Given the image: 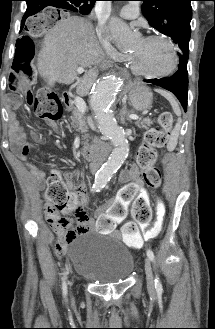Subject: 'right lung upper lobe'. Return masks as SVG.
I'll return each instance as SVG.
<instances>
[{
	"mask_svg": "<svg viewBox=\"0 0 215 329\" xmlns=\"http://www.w3.org/2000/svg\"><path fill=\"white\" fill-rule=\"evenodd\" d=\"M43 1H46V3L43 5V8L47 6H53L59 8L60 6H63L67 0H43ZM84 1L90 4H94L96 0H84Z\"/></svg>",
	"mask_w": 215,
	"mask_h": 329,
	"instance_id": "right-lung-upper-lobe-1",
	"label": "right lung upper lobe"
}]
</instances>
